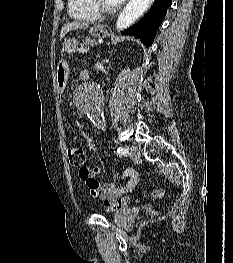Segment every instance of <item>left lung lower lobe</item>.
Segmentation results:
<instances>
[{"label":"left lung lower lobe","mask_w":233,"mask_h":263,"mask_svg":"<svg viewBox=\"0 0 233 263\" xmlns=\"http://www.w3.org/2000/svg\"><path fill=\"white\" fill-rule=\"evenodd\" d=\"M171 3L172 0H155L147 14L137 24L126 29L123 34L135 35L146 47L151 46Z\"/></svg>","instance_id":"1"}]
</instances>
